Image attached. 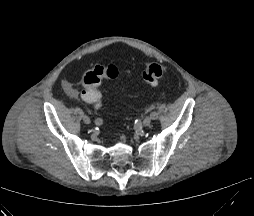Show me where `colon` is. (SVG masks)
I'll use <instances>...</instances> for the list:
<instances>
[{"label": "colon", "mask_w": 254, "mask_h": 216, "mask_svg": "<svg viewBox=\"0 0 254 216\" xmlns=\"http://www.w3.org/2000/svg\"><path fill=\"white\" fill-rule=\"evenodd\" d=\"M165 67L161 64L151 62L148 63L142 73L144 82L152 87L158 85L159 80L165 74ZM118 68L114 65L100 66L97 65L94 68L86 71L81 79L83 90V98L87 102L100 103L101 102V92L98 86L104 79L114 80L118 77Z\"/></svg>", "instance_id": "5ec220e1"}]
</instances>
